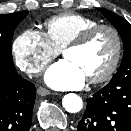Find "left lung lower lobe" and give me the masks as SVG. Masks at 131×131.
<instances>
[{
	"instance_id": "0a47b994",
	"label": "left lung lower lobe",
	"mask_w": 131,
	"mask_h": 131,
	"mask_svg": "<svg viewBox=\"0 0 131 131\" xmlns=\"http://www.w3.org/2000/svg\"><path fill=\"white\" fill-rule=\"evenodd\" d=\"M78 131H131V80L110 83L87 99Z\"/></svg>"
}]
</instances>
